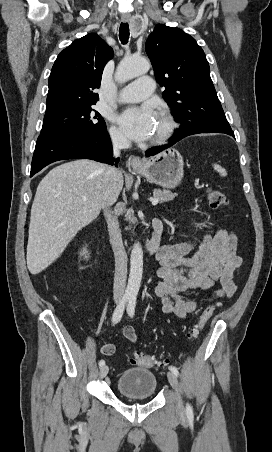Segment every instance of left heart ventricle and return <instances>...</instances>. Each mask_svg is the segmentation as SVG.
Listing matches in <instances>:
<instances>
[{
  "label": "left heart ventricle",
  "mask_w": 272,
  "mask_h": 452,
  "mask_svg": "<svg viewBox=\"0 0 272 452\" xmlns=\"http://www.w3.org/2000/svg\"><path fill=\"white\" fill-rule=\"evenodd\" d=\"M164 128V121L162 119L161 116L157 117L155 122H154V127H153V132L151 135V138L156 137L157 135H159L161 133V131Z\"/></svg>",
  "instance_id": "obj_1"
}]
</instances>
